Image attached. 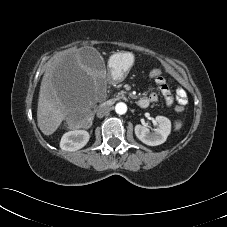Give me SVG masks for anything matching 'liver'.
Instances as JSON below:
<instances>
[{
    "label": "liver",
    "mask_w": 227,
    "mask_h": 227,
    "mask_svg": "<svg viewBox=\"0 0 227 227\" xmlns=\"http://www.w3.org/2000/svg\"><path fill=\"white\" fill-rule=\"evenodd\" d=\"M80 49L56 54L46 65L37 108V122L44 135L53 134L71 112L84 83L97 73L81 62Z\"/></svg>",
    "instance_id": "6515ba94"
}]
</instances>
